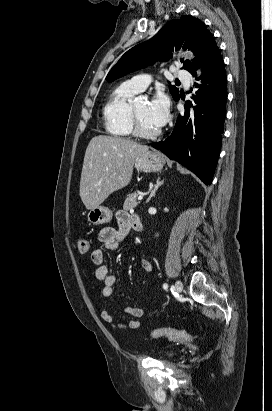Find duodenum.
<instances>
[{
    "instance_id": "410a0bca",
    "label": "duodenum",
    "mask_w": 272,
    "mask_h": 411,
    "mask_svg": "<svg viewBox=\"0 0 272 411\" xmlns=\"http://www.w3.org/2000/svg\"><path fill=\"white\" fill-rule=\"evenodd\" d=\"M132 222L134 224V227L137 231L142 232L143 231V225L141 224L140 220L138 219V217H133L132 218Z\"/></svg>"
}]
</instances>
